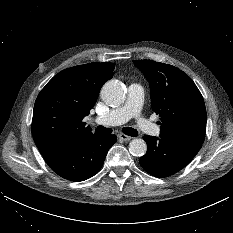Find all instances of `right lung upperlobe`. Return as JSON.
Masks as SVG:
<instances>
[{
  "label": "right lung upper lobe",
  "mask_w": 233,
  "mask_h": 233,
  "mask_svg": "<svg viewBox=\"0 0 233 233\" xmlns=\"http://www.w3.org/2000/svg\"><path fill=\"white\" fill-rule=\"evenodd\" d=\"M113 63H89L59 72L40 91L33 112L32 134L42 155L93 135L83 118L111 79Z\"/></svg>",
  "instance_id": "obj_1"
}]
</instances>
